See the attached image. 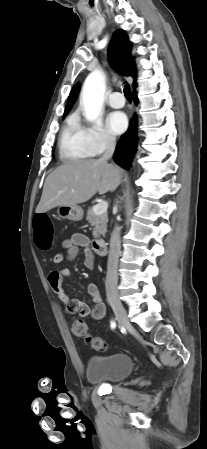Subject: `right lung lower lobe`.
I'll return each mask as SVG.
<instances>
[{
	"label": "right lung lower lobe",
	"mask_w": 207,
	"mask_h": 449,
	"mask_svg": "<svg viewBox=\"0 0 207 449\" xmlns=\"http://www.w3.org/2000/svg\"><path fill=\"white\" fill-rule=\"evenodd\" d=\"M134 101L137 104L138 99L136 92H134ZM137 115H134L128 131L123 134L117 143L113 158L117 164L124 169H129L132 158L137 146Z\"/></svg>",
	"instance_id": "obj_1"
}]
</instances>
